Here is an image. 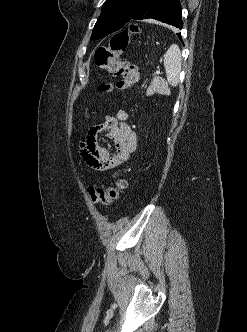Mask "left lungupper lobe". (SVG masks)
I'll use <instances>...</instances> for the list:
<instances>
[{"mask_svg":"<svg viewBox=\"0 0 247 332\" xmlns=\"http://www.w3.org/2000/svg\"><path fill=\"white\" fill-rule=\"evenodd\" d=\"M147 0H106L94 26L91 40H97L126 27Z\"/></svg>","mask_w":247,"mask_h":332,"instance_id":"1","label":"left lung upper lobe"}]
</instances>
